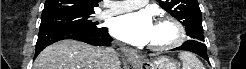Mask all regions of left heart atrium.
<instances>
[{
	"label": "left heart atrium",
	"mask_w": 246,
	"mask_h": 69,
	"mask_svg": "<svg viewBox=\"0 0 246 69\" xmlns=\"http://www.w3.org/2000/svg\"><path fill=\"white\" fill-rule=\"evenodd\" d=\"M154 25L151 14L143 10L114 18L111 32L125 43L143 46L150 42Z\"/></svg>",
	"instance_id": "1"
}]
</instances>
